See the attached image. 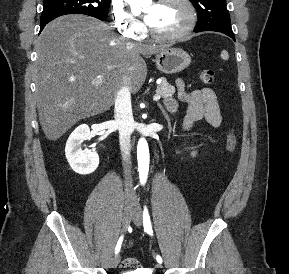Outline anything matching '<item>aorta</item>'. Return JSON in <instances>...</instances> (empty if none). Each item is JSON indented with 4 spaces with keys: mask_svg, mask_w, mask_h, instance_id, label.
<instances>
[{
    "mask_svg": "<svg viewBox=\"0 0 289 274\" xmlns=\"http://www.w3.org/2000/svg\"><path fill=\"white\" fill-rule=\"evenodd\" d=\"M132 5H135L139 0H128ZM137 159H138V171L140 181L144 183L147 179L149 170V148L147 141L144 138H140L137 145Z\"/></svg>",
    "mask_w": 289,
    "mask_h": 274,
    "instance_id": "1",
    "label": "aorta"
}]
</instances>
